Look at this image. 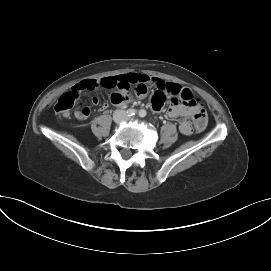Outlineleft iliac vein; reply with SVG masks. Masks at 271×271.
Segmentation results:
<instances>
[{
  "label": "left iliac vein",
  "instance_id": "left-iliac-vein-1",
  "mask_svg": "<svg viewBox=\"0 0 271 271\" xmlns=\"http://www.w3.org/2000/svg\"><path fill=\"white\" fill-rule=\"evenodd\" d=\"M127 120H133V118H126Z\"/></svg>",
  "mask_w": 271,
  "mask_h": 271
}]
</instances>
